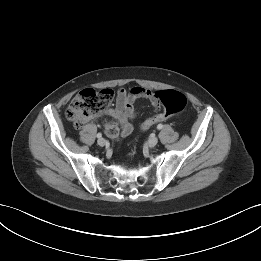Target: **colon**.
<instances>
[{
    "label": "colon",
    "mask_w": 261,
    "mask_h": 261,
    "mask_svg": "<svg viewBox=\"0 0 261 261\" xmlns=\"http://www.w3.org/2000/svg\"><path fill=\"white\" fill-rule=\"evenodd\" d=\"M114 92L111 89H84L72 100L66 110V117L77 128L82 127L91 118L103 111L112 101ZM159 101L163 104L164 110L148 119L144 127H149L156 122L167 120L172 114L181 111L187 104L186 97L177 91L166 90L157 92ZM106 136L119 143L122 137L119 135L118 124L106 122L103 125Z\"/></svg>",
    "instance_id": "colon-1"
}]
</instances>
